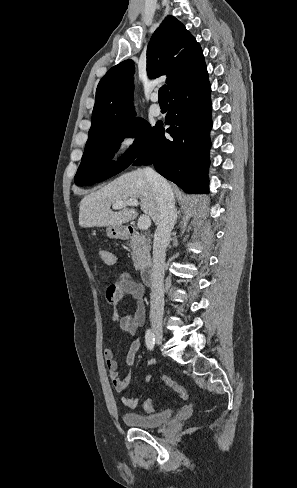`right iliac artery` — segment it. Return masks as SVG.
I'll list each match as a JSON object with an SVG mask.
<instances>
[{
    "label": "right iliac artery",
    "mask_w": 297,
    "mask_h": 488,
    "mask_svg": "<svg viewBox=\"0 0 297 488\" xmlns=\"http://www.w3.org/2000/svg\"><path fill=\"white\" fill-rule=\"evenodd\" d=\"M145 343H146V346L149 350H153L154 345H155V337H154V333L151 331V329H148L146 331Z\"/></svg>",
    "instance_id": "1"
}]
</instances>
